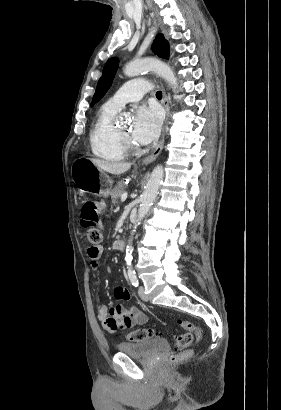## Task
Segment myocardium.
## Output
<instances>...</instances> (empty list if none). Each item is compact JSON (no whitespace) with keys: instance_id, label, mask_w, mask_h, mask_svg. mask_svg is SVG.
Listing matches in <instances>:
<instances>
[{"instance_id":"1","label":"myocardium","mask_w":281,"mask_h":410,"mask_svg":"<svg viewBox=\"0 0 281 410\" xmlns=\"http://www.w3.org/2000/svg\"><path fill=\"white\" fill-rule=\"evenodd\" d=\"M119 135L122 138V140H123V142L125 143L126 146H132V143H131L128 135L123 134L121 131H119Z\"/></svg>"}]
</instances>
